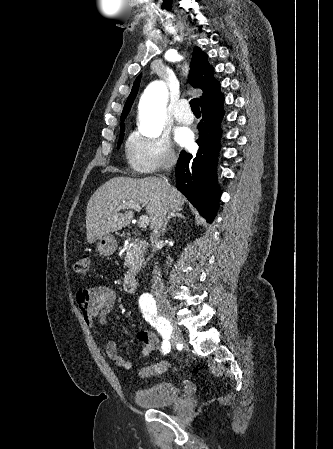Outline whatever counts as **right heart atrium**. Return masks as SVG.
I'll use <instances>...</instances> for the list:
<instances>
[{"mask_svg":"<svg viewBox=\"0 0 333 449\" xmlns=\"http://www.w3.org/2000/svg\"><path fill=\"white\" fill-rule=\"evenodd\" d=\"M127 159L140 174H151L172 167L177 156L165 135L146 136L133 133L126 146Z\"/></svg>","mask_w":333,"mask_h":449,"instance_id":"obj_1","label":"right heart atrium"}]
</instances>
